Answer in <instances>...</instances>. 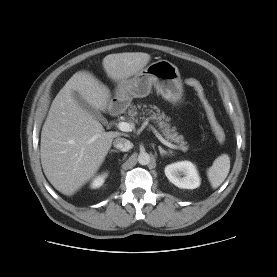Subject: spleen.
I'll return each mask as SVG.
<instances>
[{
    "label": "spleen",
    "instance_id": "1",
    "mask_svg": "<svg viewBox=\"0 0 277 277\" xmlns=\"http://www.w3.org/2000/svg\"><path fill=\"white\" fill-rule=\"evenodd\" d=\"M230 170V158L227 154L217 157L212 166L207 170V176L212 188H218L228 176Z\"/></svg>",
    "mask_w": 277,
    "mask_h": 277
}]
</instances>
